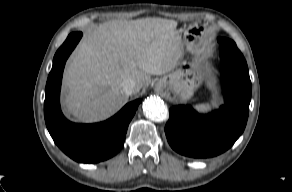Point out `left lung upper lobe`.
<instances>
[{"label": "left lung upper lobe", "instance_id": "left-lung-upper-lobe-1", "mask_svg": "<svg viewBox=\"0 0 292 192\" xmlns=\"http://www.w3.org/2000/svg\"><path fill=\"white\" fill-rule=\"evenodd\" d=\"M218 42L228 46H236L234 41L227 38H219Z\"/></svg>", "mask_w": 292, "mask_h": 192}]
</instances>
